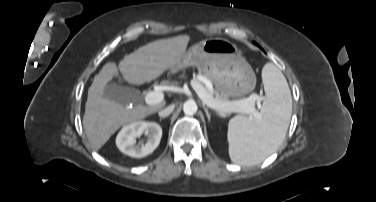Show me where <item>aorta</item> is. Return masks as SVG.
Here are the masks:
<instances>
[{
  "instance_id": "1",
  "label": "aorta",
  "mask_w": 376,
  "mask_h": 202,
  "mask_svg": "<svg viewBox=\"0 0 376 202\" xmlns=\"http://www.w3.org/2000/svg\"><path fill=\"white\" fill-rule=\"evenodd\" d=\"M198 106L194 100H188L183 105V112L186 115H193L197 112Z\"/></svg>"
}]
</instances>
